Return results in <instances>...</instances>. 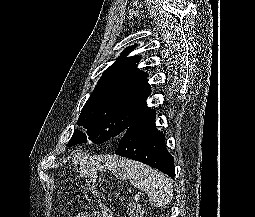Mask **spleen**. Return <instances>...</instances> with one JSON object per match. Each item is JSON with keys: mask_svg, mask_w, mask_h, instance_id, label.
Returning <instances> with one entry per match:
<instances>
[{"mask_svg": "<svg viewBox=\"0 0 255 217\" xmlns=\"http://www.w3.org/2000/svg\"><path fill=\"white\" fill-rule=\"evenodd\" d=\"M110 167L116 176L128 178L133 186L144 190L152 206L163 207L172 200V184L161 172L145 164L118 157L110 160Z\"/></svg>", "mask_w": 255, "mask_h": 217, "instance_id": "obj_1", "label": "spleen"}]
</instances>
